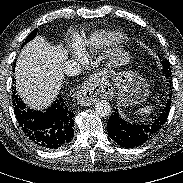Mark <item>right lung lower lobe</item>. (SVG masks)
I'll list each match as a JSON object with an SVG mask.
<instances>
[{"instance_id":"right-lung-lower-lobe-1","label":"right lung lower lobe","mask_w":183,"mask_h":183,"mask_svg":"<svg viewBox=\"0 0 183 183\" xmlns=\"http://www.w3.org/2000/svg\"><path fill=\"white\" fill-rule=\"evenodd\" d=\"M14 89L12 100L17 121L25 136L37 146L47 149H62L74 136L75 114L58 96L45 112L27 109Z\"/></svg>"}]
</instances>
